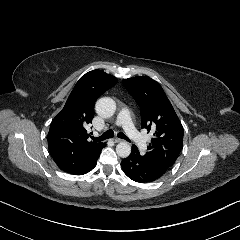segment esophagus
<instances>
[{
  "label": "esophagus",
  "mask_w": 240,
  "mask_h": 240,
  "mask_svg": "<svg viewBox=\"0 0 240 240\" xmlns=\"http://www.w3.org/2000/svg\"><path fill=\"white\" fill-rule=\"evenodd\" d=\"M122 141H123L122 139H118V138L114 139L115 143L122 142Z\"/></svg>",
  "instance_id": "34e87169"
}]
</instances>
